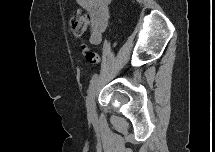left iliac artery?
I'll list each match as a JSON object with an SVG mask.
<instances>
[{
  "instance_id": "left-iliac-artery-1",
  "label": "left iliac artery",
  "mask_w": 215,
  "mask_h": 152,
  "mask_svg": "<svg viewBox=\"0 0 215 152\" xmlns=\"http://www.w3.org/2000/svg\"><path fill=\"white\" fill-rule=\"evenodd\" d=\"M99 78V74H94L93 77L90 80V85H93Z\"/></svg>"
}]
</instances>
